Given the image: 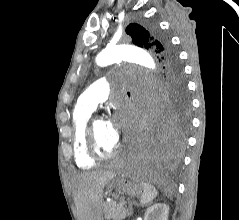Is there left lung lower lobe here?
<instances>
[{
  "mask_svg": "<svg viewBox=\"0 0 239 220\" xmlns=\"http://www.w3.org/2000/svg\"><path fill=\"white\" fill-rule=\"evenodd\" d=\"M183 131L175 127L165 109L153 122L148 139L135 159V167L144 174H162L174 167L181 158Z\"/></svg>",
  "mask_w": 239,
  "mask_h": 220,
  "instance_id": "0a47b994",
  "label": "left lung lower lobe"
}]
</instances>
